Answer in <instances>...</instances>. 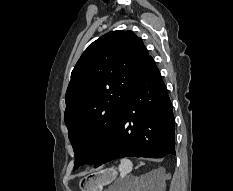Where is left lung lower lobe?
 Returning <instances> with one entry per match:
<instances>
[{
  "label": "left lung lower lobe",
  "instance_id": "1",
  "mask_svg": "<svg viewBox=\"0 0 233 191\" xmlns=\"http://www.w3.org/2000/svg\"><path fill=\"white\" fill-rule=\"evenodd\" d=\"M172 154H175L172 105L160 72L149 56L94 167L121 157L161 158Z\"/></svg>",
  "mask_w": 233,
  "mask_h": 191
}]
</instances>
